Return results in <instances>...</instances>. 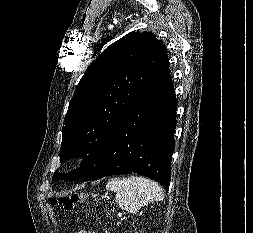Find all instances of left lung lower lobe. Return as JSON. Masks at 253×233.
Here are the masks:
<instances>
[{"label": "left lung lower lobe", "mask_w": 253, "mask_h": 233, "mask_svg": "<svg viewBox=\"0 0 253 233\" xmlns=\"http://www.w3.org/2000/svg\"><path fill=\"white\" fill-rule=\"evenodd\" d=\"M177 102L169 67L123 118L84 181L136 173L168 191Z\"/></svg>", "instance_id": "left-lung-lower-lobe-1"}]
</instances>
